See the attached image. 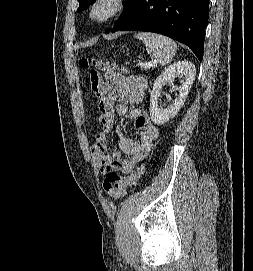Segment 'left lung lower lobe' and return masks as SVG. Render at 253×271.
Listing matches in <instances>:
<instances>
[{
  "instance_id": "1",
  "label": "left lung lower lobe",
  "mask_w": 253,
  "mask_h": 271,
  "mask_svg": "<svg viewBox=\"0 0 253 271\" xmlns=\"http://www.w3.org/2000/svg\"><path fill=\"white\" fill-rule=\"evenodd\" d=\"M209 0H135L127 19L113 32L149 31L186 44L202 61Z\"/></svg>"
}]
</instances>
